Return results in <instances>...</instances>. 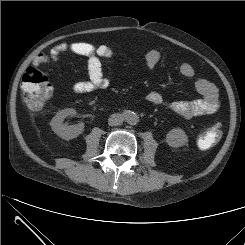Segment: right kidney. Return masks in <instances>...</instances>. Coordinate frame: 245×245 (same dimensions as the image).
<instances>
[{"instance_id":"right-kidney-1","label":"right kidney","mask_w":245,"mask_h":245,"mask_svg":"<svg viewBox=\"0 0 245 245\" xmlns=\"http://www.w3.org/2000/svg\"><path fill=\"white\" fill-rule=\"evenodd\" d=\"M76 114V110L72 108L59 111L51 120L50 125L52 130L62 139L70 140L78 137L84 130V123L67 126L63 123L68 116Z\"/></svg>"}]
</instances>
